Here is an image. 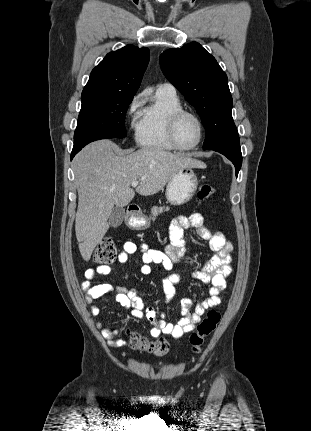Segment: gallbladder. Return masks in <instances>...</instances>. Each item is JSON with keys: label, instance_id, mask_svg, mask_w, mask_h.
<instances>
[{"label": "gallbladder", "instance_id": "1", "mask_svg": "<svg viewBox=\"0 0 311 431\" xmlns=\"http://www.w3.org/2000/svg\"><path fill=\"white\" fill-rule=\"evenodd\" d=\"M124 217H125L124 208H113V212L111 216H109V223L110 225H112V227H118V225H121Z\"/></svg>", "mask_w": 311, "mask_h": 431}]
</instances>
